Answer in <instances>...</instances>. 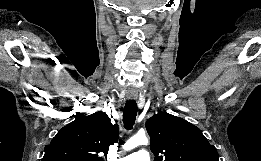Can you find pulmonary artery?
<instances>
[{"label": "pulmonary artery", "instance_id": "pulmonary-artery-1", "mask_svg": "<svg viewBox=\"0 0 261 161\" xmlns=\"http://www.w3.org/2000/svg\"><path fill=\"white\" fill-rule=\"evenodd\" d=\"M117 161H151V157L146 149H140Z\"/></svg>", "mask_w": 261, "mask_h": 161}]
</instances>
